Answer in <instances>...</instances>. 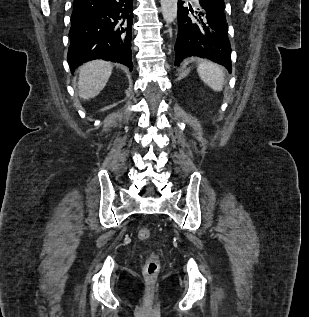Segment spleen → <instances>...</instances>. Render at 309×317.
<instances>
[{
  "instance_id": "1",
  "label": "spleen",
  "mask_w": 309,
  "mask_h": 317,
  "mask_svg": "<svg viewBox=\"0 0 309 317\" xmlns=\"http://www.w3.org/2000/svg\"><path fill=\"white\" fill-rule=\"evenodd\" d=\"M197 72L202 81L214 91H222L225 74L223 69L212 62L204 61L197 67Z\"/></svg>"
}]
</instances>
